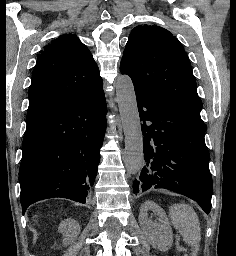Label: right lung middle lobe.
I'll list each match as a JSON object with an SVG mask.
<instances>
[{
    "mask_svg": "<svg viewBox=\"0 0 236 256\" xmlns=\"http://www.w3.org/2000/svg\"><path fill=\"white\" fill-rule=\"evenodd\" d=\"M33 124H27V127H30V126H32Z\"/></svg>",
    "mask_w": 236,
    "mask_h": 256,
    "instance_id": "right-lung-middle-lobe-1",
    "label": "right lung middle lobe"
}]
</instances>
